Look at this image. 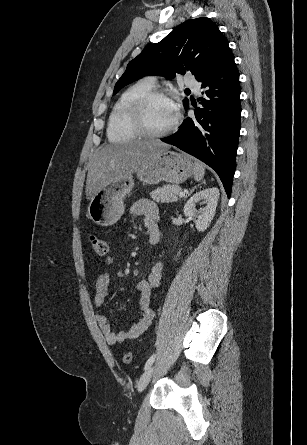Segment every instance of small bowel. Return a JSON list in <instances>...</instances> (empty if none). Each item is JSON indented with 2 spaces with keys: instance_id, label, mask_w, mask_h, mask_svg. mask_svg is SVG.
Masks as SVG:
<instances>
[{
  "instance_id": "small-bowel-1",
  "label": "small bowel",
  "mask_w": 307,
  "mask_h": 445,
  "mask_svg": "<svg viewBox=\"0 0 307 445\" xmlns=\"http://www.w3.org/2000/svg\"><path fill=\"white\" fill-rule=\"evenodd\" d=\"M130 212L134 216H142L144 225L149 234V243L155 245L160 238V214L157 205L149 199H141L135 202ZM107 264L112 259H107ZM162 266L156 263L149 274L147 280L139 281L135 285L138 293V316L128 326L126 330L115 332L111 324L104 315H97L96 321L109 345L122 344L128 340L135 339L144 333L152 323L154 312L150 306V295L153 288L160 285ZM111 283V274L109 270H103L99 273L95 284L94 303L96 308H100L106 301Z\"/></svg>"
}]
</instances>
